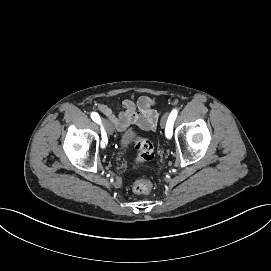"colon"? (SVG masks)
<instances>
[{
    "mask_svg": "<svg viewBox=\"0 0 271 271\" xmlns=\"http://www.w3.org/2000/svg\"><path fill=\"white\" fill-rule=\"evenodd\" d=\"M136 148L138 150L137 161L140 163L147 162L154 157V149L152 143L145 139L140 138L137 141ZM152 189V182L149 179H138L132 187V190L137 195L147 194Z\"/></svg>",
    "mask_w": 271,
    "mask_h": 271,
    "instance_id": "colon-1",
    "label": "colon"
}]
</instances>
